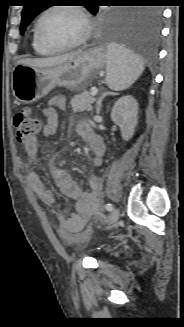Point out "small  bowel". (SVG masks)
<instances>
[{
    "label": "small bowel",
    "mask_w": 184,
    "mask_h": 327,
    "mask_svg": "<svg viewBox=\"0 0 184 327\" xmlns=\"http://www.w3.org/2000/svg\"><path fill=\"white\" fill-rule=\"evenodd\" d=\"M66 99L64 96L55 95L49 101V106L44 108L42 115L46 123L41 128L39 136L46 138L56 133L58 127V115L56 109H65ZM78 135L84 139L95 154L94 163L99 165L104 154V144L100 136L95 134L89 124L79 123L76 126ZM26 153L34 160H37L39 153V143L37 138L24 144ZM51 175L60 188L61 193L74 202V211L67 218H61V224L65 231L77 233L86 225L88 219L93 217L98 209V192L100 181L97 176H92L88 180L87 190L74 181L64 170L52 165ZM28 184L34 194L44 203L55 205L56 198L47 188L45 181L36 172H31L28 176Z\"/></svg>",
    "instance_id": "c3829d8e"
}]
</instances>
